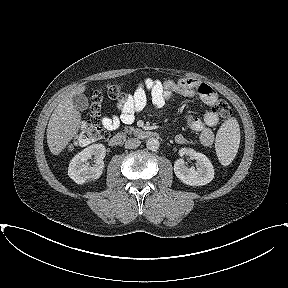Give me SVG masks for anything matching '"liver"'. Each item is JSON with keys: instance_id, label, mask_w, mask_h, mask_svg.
I'll list each match as a JSON object with an SVG mask.
<instances>
[{"instance_id": "6515ba94", "label": "liver", "mask_w": 288, "mask_h": 288, "mask_svg": "<svg viewBox=\"0 0 288 288\" xmlns=\"http://www.w3.org/2000/svg\"><path fill=\"white\" fill-rule=\"evenodd\" d=\"M86 87L81 84L68 93L53 111L47 127V144L53 155H58L78 133L81 114L73 105V95L81 94Z\"/></svg>"}]
</instances>
